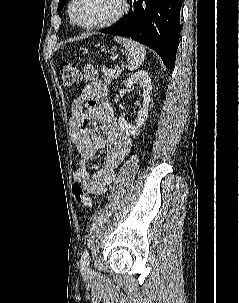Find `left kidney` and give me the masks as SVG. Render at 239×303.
Returning <instances> with one entry per match:
<instances>
[{
    "label": "left kidney",
    "instance_id": "1",
    "mask_svg": "<svg viewBox=\"0 0 239 303\" xmlns=\"http://www.w3.org/2000/svg\"><path fill=\"white\" fill-rule=\"evenodd\" d=\"M139 83L143 88V106L138 112L135 124H129L124 117H119L118 123L120 127L125 131L127 135H134L138 132L140 127L144 124L148 112L149 103L151 102L150 91L152 89L151 78L145 70L138 71L131 75L129 79L125 82L127 88H132L134 84Z\"/></svg>",
    "mask_w": 239,
    "mask_h": 303
}]
</instances>
